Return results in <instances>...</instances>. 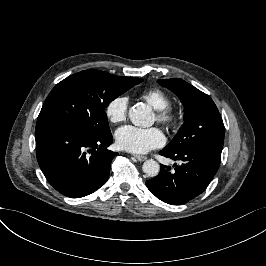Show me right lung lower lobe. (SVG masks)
I'll use <instances>...</instances> for the list:
<instances>
[{
    "label": "right lung lower lobe",
    "instance_id": "obj_1",
    "mask_svg": "<svg viewBox=\"0 0 266 266\" xmlns=\"http://www.w3.org/2000/svg\"><path fill=\"white\" fill-rule=\"evenodd\" d=\"M112 142L111 132L92 136L70 127L56 126L36 136L38 164L58 192L80 198L107 181L112 159L117 155L107 149Z\"/></svg>",
    "mask_w": 266,
    "mask_h": 266
}]
</instances>
